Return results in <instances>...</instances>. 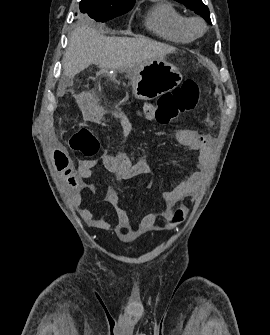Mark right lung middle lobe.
Wrapping results in <instances>:
<instances>
[{
	"label": "right lung middle lobe",
	"instance_id": "right-lung-middle-lobe-1",
	"mask_svg": "<svg viewBox=\"0 0 270 335\" xmlns=\"http://www.w3.org/2000/svg\"><path fill=\"white\" fill-rule=\"evenodd\" d=\"M134 6L133 3L102 5L96 0H81L80 12L87 19H94L97 22H106L114 17L127 13Z\"/></svg>",
	"mask_w": 270,
	"mask_h": 335
}]
</instances>
